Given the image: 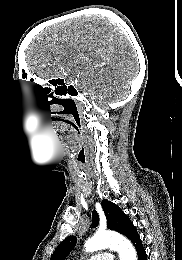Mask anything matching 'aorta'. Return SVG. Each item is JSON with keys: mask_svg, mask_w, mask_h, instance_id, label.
Instances as JSON below:
<instances>
[{"mask_svg": "<svg viewBox=\"0 0 182 260\" xmlns=\"http://www.w3.org/2000/svg\"><path fill=\"white\" fill-rule=\"evenodd\" d=\"M110 248L119 253L120 260H137L135 248L124 236L115 232L96 233L85 243L86 252Z\"/></svg>", "mask_w": 182, "mask_h": 260, "instance_id": "762f6f07", "label": "aorta"}]
</instances>
